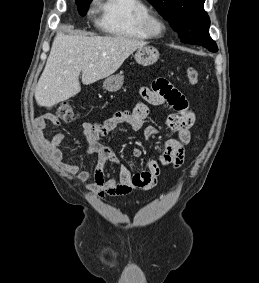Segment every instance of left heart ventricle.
Listing matches in <instances>:
<instances>
[{"instance_id": "left-heart-ventricle-1", "label": "left heart ventricle", "mask_w": 259, "mask_h": 283, "mask_svg": "<svg viewBox=\"0 0 259 283\" xmlns=\"http://www.w3.org/2000/svg\"><path fill=\"white\" fill-rule=\"evenodd\" d=\"M156 30H157V31H160V26L157 25V26H156Z\"/></svg>"}]
</instances>
